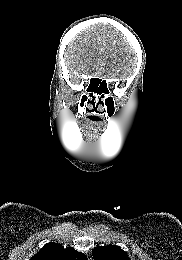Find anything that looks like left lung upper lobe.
I'll list each match as a JSON object with an SVG mask.
<instances>
[{"label": "left lung upper lobe", "mask_w": 182, "mask_h": 260, "mask_svg": "<svg viewBox=\"0 0 182 260\" xmlns=\"http://www.w3.org/2000/svg\"><path fill=\"white\" fill-rule=\"evenodd\" d=\"M92 255L94 260H131L127 253L116 245L95 247Z\"/></svg>", "instance_id": "left-lung-upper-lobe-1"}]
</instances>
